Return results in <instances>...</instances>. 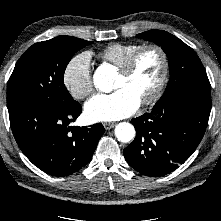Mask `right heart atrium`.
Returning a JSON list of instances; mask_svg holds the SVG:
<instances>
[{
    "instance_id": "1",
    "label": "right heart atrium",
    "mask_w": 221,
    "mask_h": 221,
    "mask_svg": "<svg viewBox=\"0 0 221 221\" xmlns=\"http://www.w3.org/2000/svg\"><path fill=\"white\" fill-rule=\"evenodd\" d=\"M64 85L75 99H84L93 91L91 56L88 52L74 56L66 65Z\"/></svg>"
}]
</instances>
